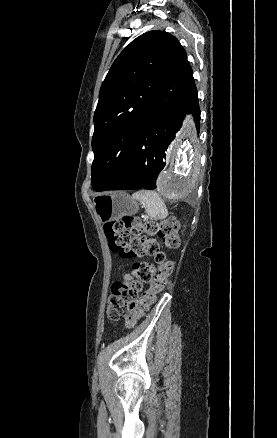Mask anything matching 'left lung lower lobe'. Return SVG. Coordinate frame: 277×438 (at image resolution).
Instances as JSON below:
<instances>
[{
    "instance_id": "obj_1",
    "label": "left lung lower lobe",
    "mask_w": 277,
    "mask_h": 438,
    "mask_svg": "<svg viewBox=\"0 0 277 438\" xmlns=\"http://www.w3.org/2000/svg\"><path fill=\"white\" fill-rule=\"evenodd\" d=\"M184 112L168 100L151 98L138 123L131 156L119 178L105 190L155 189L165 166V151L175 138ZM198 123V115L195 116Z\"/></svg>"
}]
</instances>
